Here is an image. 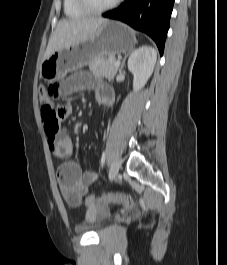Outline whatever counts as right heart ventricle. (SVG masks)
<instances>
[{
    "instance_id": "1",
    "label": "right heart ventricle",
    "mask_w": 227,
    "mask_h": 265,
    "mask_svg": "<svg viewBox=\"0 0 227 265\" xmlns=\"http://www.w3.org/2000/svg\"><path fill=\"white\" fill-rule=\"evenodd\" d=\"M63 9L66 16L70 18L80 17L86 14L78 5L76 0H64Z\"/></svg>"
}]
</instances>
